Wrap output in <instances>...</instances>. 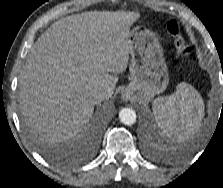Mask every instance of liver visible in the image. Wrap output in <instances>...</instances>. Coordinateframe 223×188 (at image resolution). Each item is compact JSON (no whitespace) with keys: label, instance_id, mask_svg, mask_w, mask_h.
<instances>
[{"label":"liver","instance_id":"1","mask_svg":"<svg viewBox=\"0 0 223 188\" xmlns=\"http://www.w3.org/2000/svg\"><path fill=\"white\" fill-rule=\"evenodd\" d=\"M137 12L91 11L53 23L31 47L19 77V103L31 131L50 142L72 140L89 122L91 93L109 99L126 70L129 28Z\"/></svg>","mask_w":223,"mask_h":188}]
</instances>
